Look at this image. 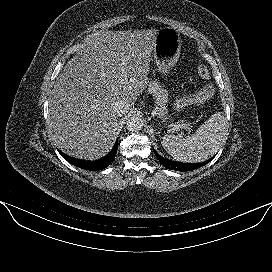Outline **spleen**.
I'll return each instance as SVG.
<instances>
[{
	"label": "spleen",
	"instance_id": "spleen-1",
	"mask_svg": "<svg viewBox=\"0 0 272 272\" xmlns=\"http://www.w3.org/2000/svg\"><path fill=\"white\" fill-rule=\"evenodd\" d=\"M226 123L222 113L218 112L202 124L196 132L187 138L175 135L162 137L163 148L173 158L183 162H202L214 155L223 140Z\"/></svg>",
	"mask_w": 272,
	"mask_h": 272
}]
</instances>
